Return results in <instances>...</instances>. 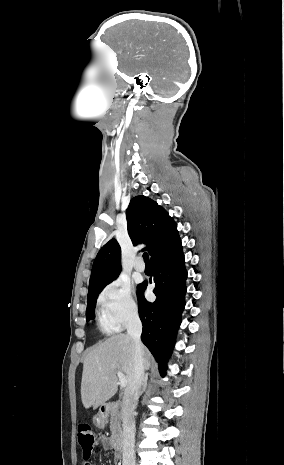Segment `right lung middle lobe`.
<instances>
[{
    "label": "right lung middle lobe",
    "instance_id": "1",
    "mask_svg": "<svg viewBox=\"0 0 284 465\" xmlns=\"http://www.w3.org/2000/svg\"><path fill=\"white\" fill-rule=\"evenodd\" d=\"M101 290H99L98 292L88 296V298H87V309H86V319H87V321L90 320V319H94V317H95L94 310H95L96 300H97L98 294L101 292Z\"/></svg>",
    "mask_w": 284,
    "mask_h": 465
}]
</instances>
